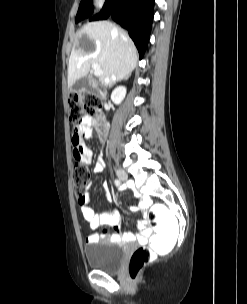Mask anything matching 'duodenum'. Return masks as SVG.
<instances>
[{"label":"duodenum","mask_w":247,"mask_h":304,"mask_svg":"<svg viewBox=\"0 0 247 304\" xmlns=\"http://www.w3.org/2000/svg\"><path fill=\"white\" fill-rule=\"evenodd\" d=\"M106 119H107L106 115H100V119H98L95 123V126H96L95 132L100 135V139H99L100 141H103V138L106 139L108 137V131H106V129H105V126H106L105 120Z\"/></svg>","instance_id":"obj_1"}]
</instances>
